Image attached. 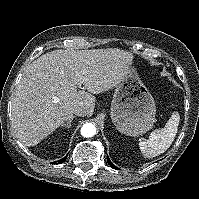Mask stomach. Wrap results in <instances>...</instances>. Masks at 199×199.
<instances>
[{"label":"stomach","instance_id":"stomach-1","mask_svg":"<svg viewBox=\"0 0 199 199\" xmlns=\"http://www.w3.org/2000/svg\"><path fill=\"white\" fill-rule=\"evenodd\" d=\"M155 102L131 65L115 86L111 103V120L125 135L138 136L153 127Z\"/></svg>","mask_w":199,"mask_h":199}]
</instances>
